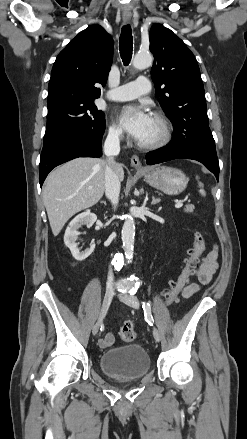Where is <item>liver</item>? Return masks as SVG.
Returning <instances> with one entry per match:
<instances>
[{
	"mask_svg": "<svg viewBox=\"0 0 247 439\" xmlns=\"http://www.w3.org/2000/svg\"><path fill=\"white\" fill-rule=\"evenodd\" d=\"M107 160L76 158L53 170L43 188V202L54 236L76 213L95 205L105 190ZM119 180L124 170L117 166Z\"/></svg>",
	"mask_w": 247,
	"mask_h": 439,
	"instance_id": "liver-1",
	"label": "liver"
}]
</instances>
